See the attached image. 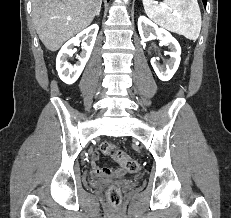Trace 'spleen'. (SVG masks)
I'll use <instances>...</instances> for the list:
<instances>
[{"instance_id": "obj_1", "label": "spleen", "mask_w": 231, "mask_h": 218, "mask_svg": "<svg viewBox=\"0 0 231 218\" xmlns=\"http://www.w3.org/2000/svg\"><path fill=\"white\" fill-rule=\"evenodd\" d=\"M145 13L167 30L196 40L201 30V12L197 0H164L160 6L154 0H142Z\"/></svg>"}]
</instances>
